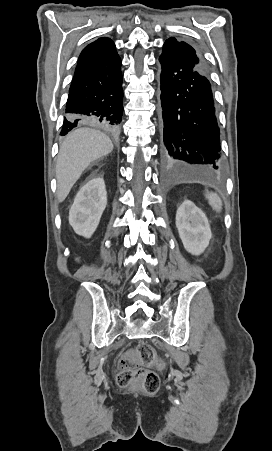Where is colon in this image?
<instances>
[{"label": "colon", "instance_id": "1", "mask_svg": "<svg viewBox=\"0 0 272 451\" xmlns=\"http://www.w3.org/2000/svg\"><path fill=\"white\" fill-rule=\"evenodd\" d=\"M155 355L150 342H141L139 346L128 350L116 364L118 385L140 386L148 393H156L160 380L157 373L147 366L153 365Z\"/></svg>", "mask_w": 272, "mask_h": 451}]
</instances>
